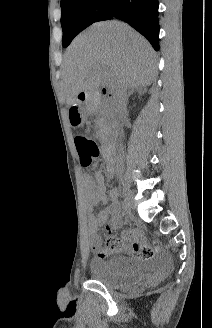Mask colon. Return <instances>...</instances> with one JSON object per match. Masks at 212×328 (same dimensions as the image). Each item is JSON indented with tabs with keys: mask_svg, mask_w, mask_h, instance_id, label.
<instances>
[{
	"mask_svg": "<svg viewBox=\"0 0 212 328\" xmlns=\"http://www.w3.org/2000/svg\"><path fill=\"white\" fill-rule=\"evenodd\" d=\"M75 147L79 156L80 164L83 167H89L99 155V149L96 142L85 134L79 132L76 134ZM114 239L108 238L105 247L107 250L113 248ZM150 254L147 255L149 257Z\"/></svg>",
	"mask_w": 212,
	"mask_h": 328,
	"instance_id": "colon-1",
	"label": "colon"
}]
</instances>
